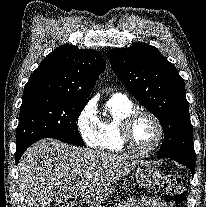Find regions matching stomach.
Segmentation results:
<instances>
[{
	"instance_id": "1",
	"label": "stomach",
	"mask_w": 206,
	"mask_h": 207,
	"mask_svg": "<svg viewBox=\"0 0 206 207\" xmlns=\"http://www.w3.org/2000/svg\"><path fill=\"white\" fill-rule=\"evenodd\" d=\"M135 178L139 187L147 190L155 189L163 179L162 173L158 168L153 163L147 161H141L136 165Z\"/></svg>"
}]
</instances>
